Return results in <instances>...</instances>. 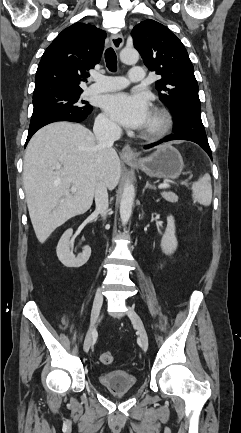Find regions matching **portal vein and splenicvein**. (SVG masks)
Listing matches in <instances>:
<instances>
[{"label":"portal vein and splenic vein","mask_w":241,"mask_h":433,"mask_svg":"<svg viewBox=\"0 0 241 433\" xmlns=\"http://www.w3.org/2000/svg\"><path fill=\"white\" fill-rule=\"evenodd\" d=\"M169 187H170V185H169L168 183H163V184H160V185L158 186L159 189H167V188H169ZM76 190H77V188H76L75 186H72V187H71V192H72V193L76 192Z\"/></svg>","instance_id":"1"}]
</instances>
